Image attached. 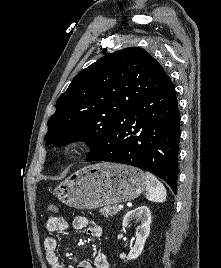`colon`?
Segmentation results:
<instances>
[{
    "label": "colon",
    "mask_w": 221,
    "mask_h": 268,
    "mask_svg": "<svg viewBox=\"0 0 221 268\" xmlns=\"http://www.w3.org/2000/svg\"><path fill=\"white\" fill-rule=\"evenodd\" d=\"M47 211L51 214H54L58 211V208L56 205L54 204H50L48 207H47Z\"/></svg>",
    "instance_id": "obj_1"
}]
</instances>
